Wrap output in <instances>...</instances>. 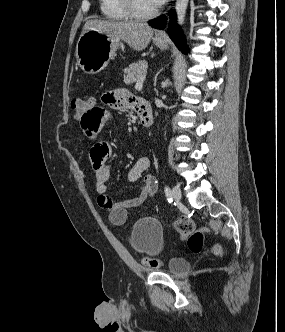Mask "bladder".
<instances>
[{
    "mask_svg": "<svg viewBox=\"0 0 285 332\" xmlns=\"http://www.w3.org/2000/svg\"><path fill=\"white\" fill-rule=\"evenodd\" d=\"M163 227L158 220L144 217L137 220L131 228L128 242L130 248L138 255H153L162 246ZM189 269V264L183 259L173 258L168 263L170 274H182Z\"/></svg>",
    "mask_w": 285,
    "mask_h": 332,
    "instance_id": "bladder-1",
    "label": "bladder"
}]
</instances>
